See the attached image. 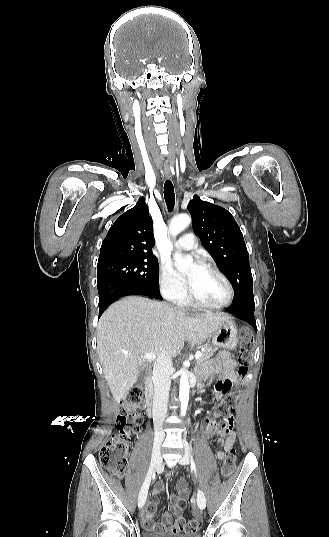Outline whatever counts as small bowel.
I'll return each instance as SVG.
<instances>
[{
  "label": "small bowel",
  "instance_id": "1",
  "mask_svg": "<svg viewBox=\"0 0 329 537\" xmlns=\"http://www.w3.org/2000/svg\"><path fill=\"white\" fill-rule=\"evenodd\" d=\"M236 367V361L225 352H222L215 357L209 365V376L222 377V379H218L216 381L214 389L223 397L229 395L234 385V381H236L239 377ZM206 396H209V393H206ZM210 396H217V393H210ZM204 434L207 439L215 436L219 438L221 448L217 451L216 458L220 461L223 460L226 457V453H228L229 449L233 447L235 442V434L232 430V426L226 430H219L213 424L206 421ZM161 490L162 484L158 483L153 489L152 499L147 502L142 511L143 526L146 530L156 533H178L184 529L182 503L186 501L189 495V489L185 481L180 480L177 484L179 494H171L169 496L171 511L175 516V520L171 518L169 513H165L163 515V520L161 522H156V509Z\"/></svg>",
  "mask_w": 329,
  "mask_h": 537
}]
</instances>
